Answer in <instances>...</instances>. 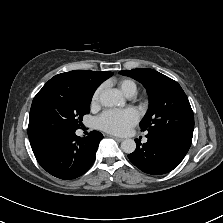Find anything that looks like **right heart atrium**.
Segmentation results:
<instances>
[{"label":"right heart atrium","instance_id":"d8ad5b80","mask_svg":"<svg viewBox=\"0 0 223 223\" xmlns=\"http://www.w3.org/2000/svg\"><path fill=\"white\" fill-rule=\"evenodd\" d=\"M100 91L101 89L98 88L94 91V93L92 94V97H91V103L94 105L98 102L99 100V95H100Z\"/></svg>","mask_w":223,"mask_h":223}]
</instances>
